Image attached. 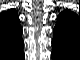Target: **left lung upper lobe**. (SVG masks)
<instances>
[{
    "mask_svg": "<svg viewBox=\"0 0 80 60\" xmlns=\"http://www.w3.org/2000/svg\"><path fill=\"white\" fill-rule=\"evenodd\" d=\"M68 17V19H67ZM75 14L70 11H64L61 13L58 17V22L54 29V35L58 36V38L61 37L62 42L66 43V45H69V41L71 39V35L68 36V34H71L70 28L71 23L74 21Z\"/></svg>",
    "mask_w": 80,
    "mask_h": 60,
    "instance_id": "5c2ea615",
    "label": "left lung upper lobe"
}]
</instances>
